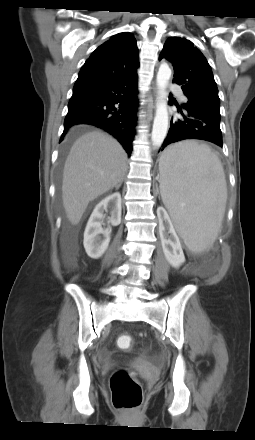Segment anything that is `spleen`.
<instances>
[{
  "mask_svg": "<svg viewBox=\"0 0 255 440\" xmlns=\"http://www.w3.org/2000/svg\"><path fill=\"white\" fill-rule=\"evenodd\" d=\"M160 191L177 232L186 246L199 253L215 242L227 201L222 164L205 144L182 142L165 151Z\"/></svg>",
  "mask_w": 255,
  "mask_h": 440,
  "instance_id": "1",
  "label": "spleen"
}]
</instances>
